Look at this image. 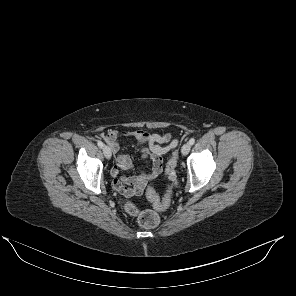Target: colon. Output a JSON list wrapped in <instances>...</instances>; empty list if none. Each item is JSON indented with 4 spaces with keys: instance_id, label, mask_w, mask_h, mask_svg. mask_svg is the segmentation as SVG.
Instances as JSON below:
<instances>
[{
    "instance_id": "colon-1",
    "label": "colon",
    "mask_w": 296,
    "mask_h": 296,
    "mask_svg": "<svg viewBox=\"0 0 296 296\" xmlns=\"http://www.w3.org/2000/svg\"><path fill=\"white\" fill-rule=\"evenodd\" d=\"M177 163V154H173L172 158L168 162L166 168V176L168 179H172L175 175V167ZM147 197L156 210H164L168 207L170 201V192L166 194L163 199H160L154 189L149 187L147 189ZM126 211L137 218L138 223L145 228H154L160 222V217L157 212L153 210L140 211L132 204H126Z\"/></svg>"
}]
</instances>
